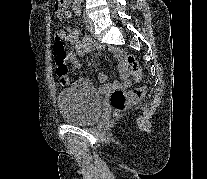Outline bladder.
<instances>
[{"label": "bladder", "mask_w": 207, "mask_h": 179, "mask_svg": "<svg viewBox=\"0 0 207 179\" xmlns=\"http://www.w3.org/2000/svg\"><path fill=\"white\" fill-rule=\"evenodd\" d=\"M62 118L69 124L86 125L102 113V99L89 80H78L56 97Z\"/></svg>", "instance_id": "31cf9c89"}]
</instances>
